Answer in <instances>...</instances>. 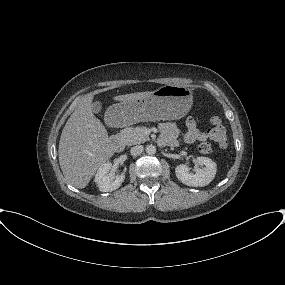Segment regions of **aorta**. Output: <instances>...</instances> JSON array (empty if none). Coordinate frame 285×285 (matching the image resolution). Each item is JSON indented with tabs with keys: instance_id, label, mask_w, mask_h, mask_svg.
I'll list each match as a JSON object with an SVG mask.
<instances>
[{
	"instance_id": "1",
	"label": "aorta",
	"mask_w": 285,
	"mask_h": 285,
	"mask_svg": "<svg viewBox=\"0 0 285 285\" xmlns=\"http://www.w3.org/2000/svg\"><path fill=\"white\" fill-rule=\"evenodd\" d=\"M146 153L149 155H153L156 153V147L152 144L146 146Z\"/></svg>"
}]
</instances>
